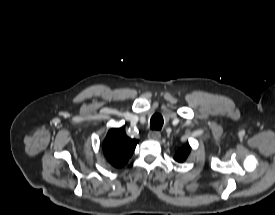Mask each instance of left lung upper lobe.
I'll return each instance as SVG.
<instances>
[{"label": "left lung upper lobe", "mask_w": 275, "mask_h": 215, "mask_svg": "<svg viewBox=\"0 0 275 215\" xmlns=\"http://www.w3.org/2000/svg\"><path fill=\"white\" fill-rule=\"evenodd\" d=\"M191 148L189 146L183 147L181 149H179L175 156L174 159L178 162H183L186 160L188 154L190 153Z\"/></svg>", "instance_id": "1"}]
</instances>
